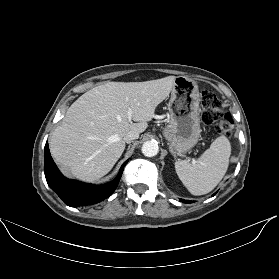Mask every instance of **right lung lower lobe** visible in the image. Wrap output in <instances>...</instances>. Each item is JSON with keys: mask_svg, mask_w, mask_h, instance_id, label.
I'll use <instances>...</instances> for the list:
<instances>
[{"mask_svg": "<svg viewBox=\"0 0 279 279\" xmlns=\"http://www.w3.org/2000/svg\"><path fill=\"white\" fill-rule=\"evenodd\" d=\"M127 162L123 163L117 177L111 182L103 185L83 183L64 177L51 158L48 143L45 145L44 170L47 183L71 207L95 204L108 198L115 191Z\"/></svg>", "mask_w": 279, "mask_h": 279, "instance_id": "98d812e1", "label": "right lung lower lobe"}]
</instances>
